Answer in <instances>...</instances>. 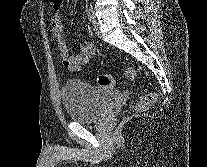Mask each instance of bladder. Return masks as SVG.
<instances>
[{
	"instance_id": "1",
	"label": "bladder",
	"mask_w": 207,
	"mask_h": 167,
	"mask_svg": "<svg viewBox=\"0 0 207 167\" xmlns=\"http://www.w3.org/2000/svg\"><path fill=\"white\" fill-rule=\"evenodd\" d=\"M61 95L66 113L72 121L91 123L102 118L119 93L71 79L64 84Z\"/></svg>"
}]
</instances>
